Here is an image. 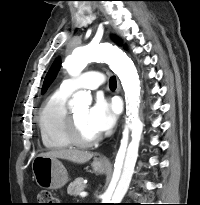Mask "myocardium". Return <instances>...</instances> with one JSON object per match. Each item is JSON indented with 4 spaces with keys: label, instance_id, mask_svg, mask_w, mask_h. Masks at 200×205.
<instances>
[{
    "label": "myocardium",
    "instance_id": "1",
    "mask_svg": "<svg viewBox=\"0 0 200 205\" xmlns=\"http://www.w3.org/2000/svg\"><path fill=\"white\" fill-rule=\"evenodd\" d=\"M65 130L70 143L77 147H91L101 140L100 135H97L96 137L91 139L83 138L79 133L77 122L72 112L67 113Z\"/></svg>",
    "mask_w": 200,
    "mask_h": 205
}]
</instances>
